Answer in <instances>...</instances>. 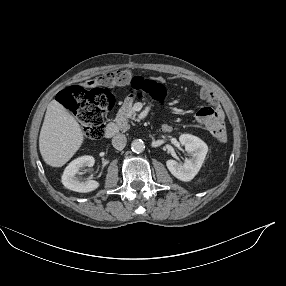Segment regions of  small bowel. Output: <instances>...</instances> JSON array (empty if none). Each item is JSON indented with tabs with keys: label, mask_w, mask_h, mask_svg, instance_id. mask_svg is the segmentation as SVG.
<instances>
[{
	"label": "small bowel",
	"mask_w": 286,
	"mask_h": 286,
	"mask_svg": "<svg viewBox=\"0 0 286 286\" xmlns=\"http://www.w3.org/2000/svg\"><path fill=\"white\" fill-rule=\"evenodd\" d=\"M132 74L128 71H116L114 72V76L111 79H101L98 82L105 85H117V86H125L133 83ZM98 82L91 81L89 84H96ZM199 97L202 100H205L210 103H217L216 96L212 93V91L206 86H200L199 88ZM137 97L135 94L130 93L127 95L126 100L123 105V111L120 113L119 118L123 122H127L130 120L133 114V108L136 104ZM196 118L198 121L207 124V122L213 118H218L224 121V114L220 106H216L215 108L204 107L197 112ZM172 125L164 124L162 125V131L170 132L172 130Z\"/></svg>",
	"instance_id": "1"
}]
</instances>
